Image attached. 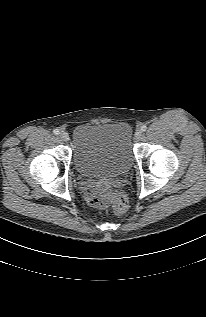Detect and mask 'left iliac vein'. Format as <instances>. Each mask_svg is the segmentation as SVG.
<instances>
[{
	"instance_id": "4c4485c4",
	"label": "left iliac vein",
	"mask_w": 206,
	"mask_h": 317,
	"mask_svg": "<svg viewBox=\"0 0 206 317\" xmlns=\"http://www.w3.org/2000/svg\"><path fill=\"white\" fill-rule=\"evenodd\" d=\"M141 136H142V131H141V130H137V131L135 132V138H136V139H140Z\"/></svg>"
}]
</instances>
